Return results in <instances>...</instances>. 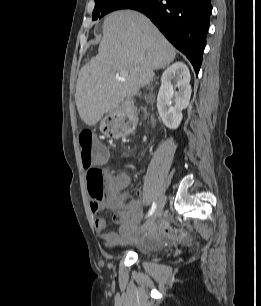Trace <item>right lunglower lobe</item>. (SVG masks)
I'll return each mask as SVG.
<instances>
[{
    "instance_id": "98d812e1",
    "label": "right lung lower lobe",
    "mask_w": 261,
    "mask_h": 306,
    "mask_svg": "<svg viewBox=\"0 0 261 306\" xmlns=\"http://www.w3.org/2000/svg\"><path fill=\"white\" fill-rule=\"evenodd\" d=\"M131 9L148 16L198 74L212 12L210 0H141Z\"/></svg>"
}]
</instances>
